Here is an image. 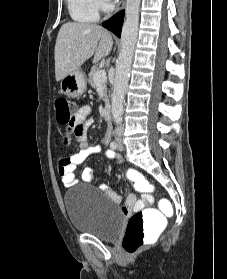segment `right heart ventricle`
Masks as SVG:
<instances>
[{
    "label": "right heart ventricle",
    "mask_w": 227,
    "mask_h": 279,
    "mask_svg": "<svg viewBox=\"0 0 227 279\" xmlns=\"http://www.w3.org/2000/svg\"><path fill=\"white\" fill-rule=\"evenodd\" d=\"M70 17L77 22H95L98 12L94 9L91 0H67Z\"/></svg>",
    "instance_id": "obj_1"
}]
</instances>
